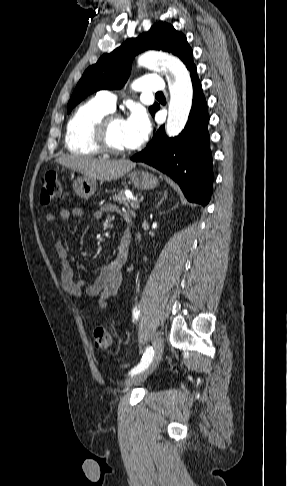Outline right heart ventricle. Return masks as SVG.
Returning <instances> with one entry per match:
<instances>
[{
	"label": "right heart ventricle",
	"mask_w": 287,
	"mask_h": 486,
	"mask_svg": "<svg viewBox=\"0 0 287 486\" xmlns=\"http://www.w3.org/2000/svg\"><path fill=\"white\" fill-rule=\"evenodd\" d=\"M111 110L97 98L81 104L69 118L64 143L66 149L79 156H97L101 152L93 142L95 124Z\"/></svg>",
	"instance_id": "obj_1"
}]
</instances>
